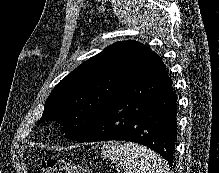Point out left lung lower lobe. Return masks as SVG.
<instances>
[{
    "mask_svg": "<svg viewBox=\"0 0 219 173\" xmlns=\"http://www.w3.org/2000/svg\"><path fill=\"white\" fill-rule=\"evenodd\" d=\"M177 96L161 58L153 53L139 78L112 101L76 141L125 140L174 160Z\"/></svg>",
    "mask_w": 219,
    "mask_h": 173,
    "instance_id": "left-lung-lower-lobe-1",
    "label": "left lung lower lobe"
}]
</instances>
